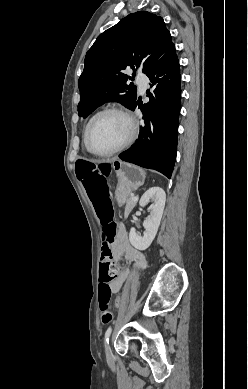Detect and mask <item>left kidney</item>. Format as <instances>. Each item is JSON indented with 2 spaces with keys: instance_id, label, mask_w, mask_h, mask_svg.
<instances>
[{
  "instance_id": "5707ae66",
  "label": "left kidney",
  "mask_w": 248,
  "mask_h": 389,
  "mask_svg": "<svg viewBox=\"0 0 248 389\" xmlns=\"http://www.w3.org/2000/svg\"><path fill=\"white\" fill-rule=\"evenodd\" d=\"M150 200L153 204L149 208V218H147L143 223L145 228L143 236H140L135 228H131L129 233L131 245L138 250L147 249L157 234L166 201L165 191L161 187L150 188L141 197L139 205L144 207L150 202Z\"/></svg>"
}]
</instances>
